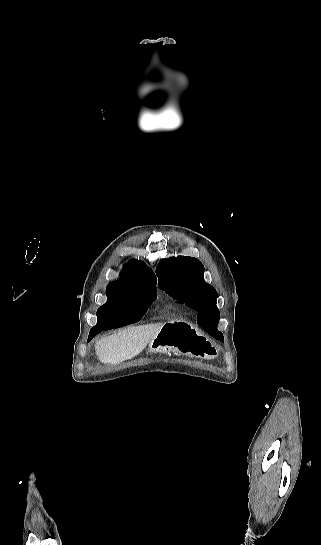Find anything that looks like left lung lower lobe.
<instances>
[{"mask_svg":"<svg viewBox=\"0 0 321 545\" xmlns=\"http://www.w3.org/2000/svg\"><path fill=\"white\" fill-rule=\"evenodd\" d=\"M217 324H218V321H211L209 323V325L211 326V328H207V327H202L205 331H207L210 335L214 336L215 337V334L218 332V331H215L213 332L211 329H214V330H217Z\"/></svg>","mask_w":321,"mask_h":545,"instance_id":"0a47b994","label":"left lung lower lobe"}]
</instances>
